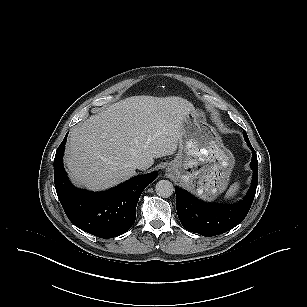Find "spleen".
I'll use <instances>...</instances> for the list:
<instances>
[{
  "label": "spleen",
  "instance_id": "spleen-1",
  "mask_svg": "<svg viewBox=\"0 0 307 307\" xmlns=\"http://www.w3.org/2000/svg\"><path fill=\"white\" fill-rule=\"evenodd\" d=\"M239 188H240V185H239L238 182H235L234 184H232L230 186V188L228 189V191H227V193L225 195V198L229 199V198L234 197L237 194Z\"/></svg>",
  "mask_w": 307,
  "mask_h": 307
}]
</instances>
